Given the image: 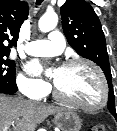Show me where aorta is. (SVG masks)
<instances>
[{"label":"aorta","instance_id":"obj_1","mask_svg":"<svg viewBox=\"0 0 117 131\" xmlns=\"http://www.w3.org/2000/svg\"><path fill=\"white\" fill-rule=\"evenodd\" d=\"M58 23V16L55 13H45L39 20L38 26L42 32L53 30Z\"/></svg>","mask_w":117,"mask_h":131}]
</instances>
